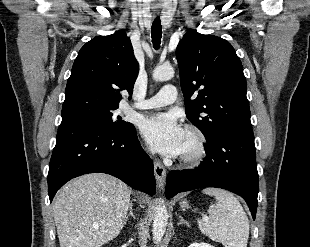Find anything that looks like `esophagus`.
<instances>
[{
    "label": "esophagus",
    "instance_id": "1",
    "mask_svg": "<svg viewBox=\"0 0 310 247\" xmlns=\"http://www.w3.org/2000/svg\"><path fill=\"white\" fill-rule=\"evenodd\" d=\"M154 172H155V177L158 183V187L162 189L165 183V179H166V169L160 162L155 161Z\"/></svg>",
    "mask_w": 310,
    "mask_h": 247
}]
</instances>
